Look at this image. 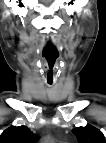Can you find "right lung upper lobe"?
<instances>
[{
	"label": "right lung upper lobe",
	"mask_w": 106,
	"mask_h": 143,
	"mask_svg": "<svg viewBox=\"0 0 106 143\" xmlns=\"http://www.w3.org/2000/svg\"><path fill=\"white\" fill-rule=\"evenodd\" d=\"M38 139L26 126H12L1 134L0 143H35Z\"/></svg>",
	"instance_id": "1"
}]
</instances>
